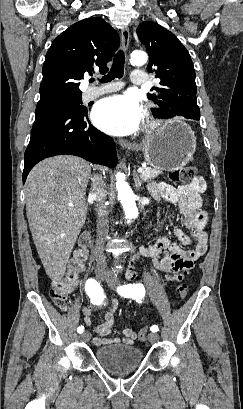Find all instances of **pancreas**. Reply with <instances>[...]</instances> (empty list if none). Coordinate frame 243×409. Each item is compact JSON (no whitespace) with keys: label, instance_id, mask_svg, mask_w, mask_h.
I'll use <instances>...</instances> for the list:
<instances>
[{"label":"pancreas","instance_id":"cf45deb5","mask_svg":"<svg viewBox=\"0 0 243 409\" xmlns=\"http://www.w3.org/2000/svg\"><path fill=\"white\" fill-rule=\"evenodd\" d=\"M160 173L161 171L158 169L147 167L144 169V172L141 174V177L145 182H149L153 178L157 177Z\"/></svg>","mask_w":243,"mask_h":409}]
</instances>
